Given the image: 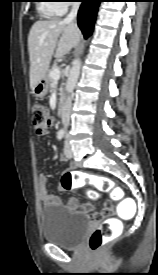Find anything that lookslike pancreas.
Masks as SVG:
<instances>
[{"mask_svg": "<svg viewBox=\"0 0 158 275\" xmlns=\"http://www.w3.org/2000/svg\"><path fill=\"white\" fill-rule=\"evenodd\" d=\"M56 67L54 66V67H52L51 69H49L48 71H47V78H48V82H49V84L53 81V79H52V77H51V72L55 69Z\"/></svg>", "mask_w": 158, "mask_h": 275, "instance_id": "pancreas-1", "label": "pancreas"}]
</instances>
